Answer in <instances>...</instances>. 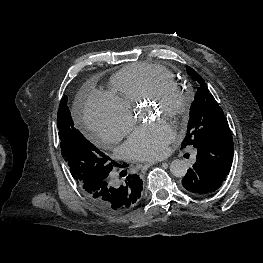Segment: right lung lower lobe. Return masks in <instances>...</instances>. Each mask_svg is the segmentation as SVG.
<instances>
[{"instance_id": "98d812e1", "label": "right lung lower lobe", "mask_w": 263, "mask_h": 263, "mask_svg": "<svg viewBox=\"0 0 263 263\" xmlns=\"http://www.w3.org/2000/svg\"><path fill=\"white\" fill-rule=\"evenodd\" d=\"M108 175L87 178L80 183L86 197L97 208L112 213L113 210L134 202L136 193H139L140 198L142 180L138 175H128L122 185L115 186L110 183Z\"/></svg>"}]
</instances>
